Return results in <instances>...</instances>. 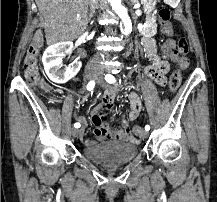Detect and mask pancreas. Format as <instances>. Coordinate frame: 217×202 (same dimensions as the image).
<instances>
[{"label": "pancreas", "mask_w": 217, "mask_h": 202, "mask_svg": "<svg viewBox=\"0 0 217 202\" xmlns=\"http://www.w3.org/2000/svg\"><path fill=\"white\" fill-rule=\"evenodd\" d=\"M157 30H142V35H147L148 38H153L154 35H157Z\"/></svg>", "instance_id": "pancreas-1"}]
</instances>
